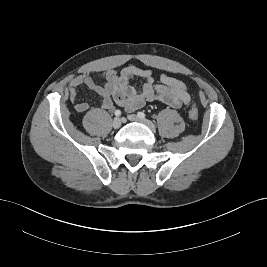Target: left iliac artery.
<instances>
[{
    "mask_svg": "<svg viewBox=\"0 0 267 267\" xmlns=\"http://www.w3.org/2000/svg\"><path fill=\"white\" fill-rule=\"evenodd\" d=\"M138 116L140 118H145L146 117V115L143 112H138Z\"/></svg>",
    "mask_w": 267,
    "mask_h": 267,
    "instance_id": "44dca946",
    "label": "left iliac artery"
}]
</instances>
